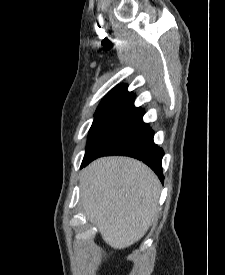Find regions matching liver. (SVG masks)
<instances>
[{
	"mask_svg": "<svg viewBox=\"0 0 225 275\" xmlns=\"http://www.w3.org/2000/svg\"><path fill=\"white\" fill-rule=\"evenodd\" d=\"M160 181L142 162L128 157L93 161L80 179V201L87 219L114 249L138 242L155 220Z\"/></svg>",
	"mask_w": 225,
	"mask_h": 275,
	"instance_id": "liver-1",
	"label": "liver"
}]
</instances>
